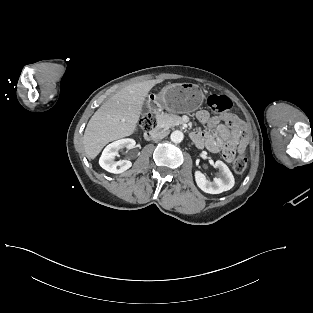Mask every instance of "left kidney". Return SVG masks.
<instances>
[{
    "mask_svg": "<svg viewBox=\"0 0 313 313\" xmlns=\"http://www.w3.org/2000/svg\"><path fill=\"white\" fill-rule=\"evenodd\" d=\"M215 167L219 169L220 175L213 180L206 178L202 172L195 171V181L197 186L206 193L219 194L230 190L235 184L233 174L225 163L218 160L215 162Z\"/></svg>",
    "mask_w": 313,
    "mask_h": 313,
    "instance_id": "5707ae66",
    "label": "left kidney"
}]
</instances>
